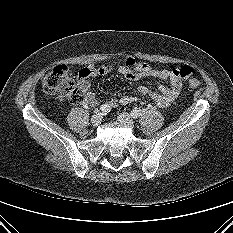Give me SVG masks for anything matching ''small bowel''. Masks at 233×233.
Instances as JSON below:
<instances>
[{
    "label": "small bowel",
    "mask_w": 233,
    "mask_h": 233,
    "mask_svg": "<svg viewBox=\"0 0 233 233\" xmlns=\"http://www.w3.org/2000/svg\"><path fill=\"white\" fill-rule=\"evenodd\" d=\"M177 69H158L146 62H137L131 55H125L119 65H88L80 70L77 84L84 94V104L89 107L96 106L98 100L92 90L89 78L105 76L116 71L129 81H137L143 77H154L169 82V85H159L157 91H153L146 86L138 88L139 96H150L160 108L169 106L179 95L182 87V80ZM139 96H122L121 98H109L106 100L110 108L119 105H128L138 100Z\"/></svg>",
    "instance_id": "small-bowel-1"
}]
</instances>
